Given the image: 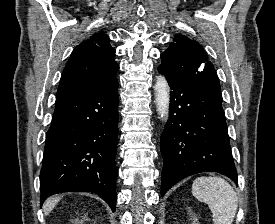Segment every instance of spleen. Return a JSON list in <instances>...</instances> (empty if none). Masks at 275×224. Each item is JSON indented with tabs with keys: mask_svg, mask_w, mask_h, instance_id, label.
Segmentation results:
<instances>
[{
	"mask_svg": "<svg viewBox=\"0 0 275 224\" xmlns=\"http://www.w3.org/2000/svg\"><path fill=\"white\" fill-rule=\"evenodd\" d=\"M192 194L209 206L214 224H232L238 198L226 180L217 176L198 177L193 181Z\"/></svg>",
	"mask_w": 275,
	"mask_h": 224,
	"instance_id": "1",
	"label": "spleen"
}]
</instances>
